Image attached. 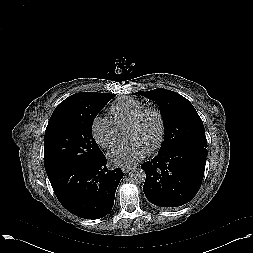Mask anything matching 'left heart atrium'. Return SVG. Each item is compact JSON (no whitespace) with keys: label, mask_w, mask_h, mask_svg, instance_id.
<instances>
[{"label":"left heart atrium","mask_w":253,"mask_h":253,"mask_svg":"<svg viewBox=\"0 0 253 253\" xmlns=\"http://www.w3.org/2000/svg\"><path fill=\"white\" fill-rule=\"evenodd\" d=\"M147 147L136 139H130L115 147L109 153V160L116 166H131L147 153Z\"/></svg>","instance_id":"obj_1"}]
</instances>
